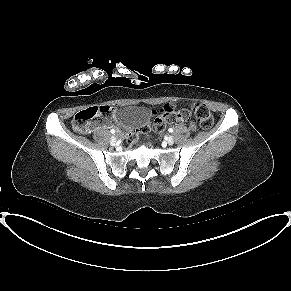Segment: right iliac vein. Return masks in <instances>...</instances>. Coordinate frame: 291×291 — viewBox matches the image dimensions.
<instances>
[{
  "instance_id": "right-iliac-vein-1",
  "label": "right iliac vein",
  "mask_w": 291,
  "mask_h": 291,
  "mask_svg": "<svg viewBox=\"0 0 291 291\" xmlns=\"http://www.w3.org/2000/svg\"><path fill=\"white\" fill-rule=\"evenodd\" d=\"M116 142H117V138H116V136H112L111 139H110V144H111V145H115Z\"/></svg>"
}]
</instances>
